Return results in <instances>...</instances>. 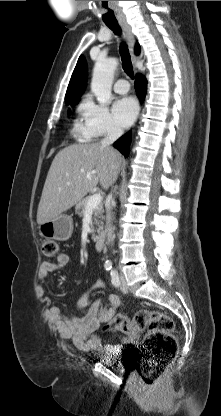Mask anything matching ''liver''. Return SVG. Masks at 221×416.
Wrapping results in <instances>:
<instances>
[{"label": "liver", "instance_id": "obj_1", "mask_svg": "<svg viewBox=\"0 0 221 416\" xmlns=\"http://www.w3.org/2000/svg\"><path fill=\"white\" fill-rule=\"evenodd\" d=\"M121 154L100 143L72 144L52 161L37 210L40 225L67 211L98 183L107 190L118 177Z\"/></svg>", "mask_w": 221, "mask_h": 416}]
</instances>
